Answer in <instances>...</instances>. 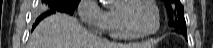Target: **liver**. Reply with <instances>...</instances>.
I'll return each mask as SVG.
<instances>
[{
	"instance_id": "obj_1",
	"label": "liver",
	"mask_w": 213,
	"mask_h": 48,
	"mask_svg": "<svg viewBox=\"0 0 213 48\" xmlns=\"http://www.w3.org/2000/svg\"><path fill=\"white\" fill-rule=\"evenodd\" d=\"M148 43L122 44L99 38L79 21L57 13L42 20L30 35L28 48H147Z\"/></svg>"
}]
</instances>
